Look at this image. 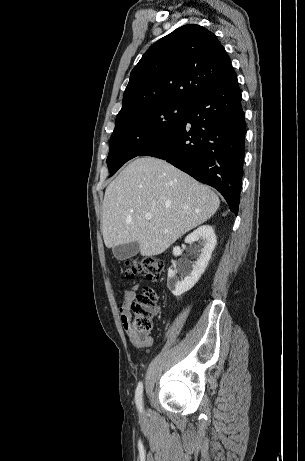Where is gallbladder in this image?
I'll return each mask as SVG.
<instances>
[{
    "mask_svg": "<svg viewBox=\"0 0 305 461\" xmlns=\"http://www.w3.org/2000/svg\"><path fill=\"white\" fill-rule=\"evenodd\" d=\"M140 250V245L137 241L127 244H121L113 248L114 257L119 260H126L135 256Z\"/></svg>",
    "mask_w": 305,
    "mask_h": 461,
    "instance_id": "1",
    "label": "gallbladder"
}]
</instances>
